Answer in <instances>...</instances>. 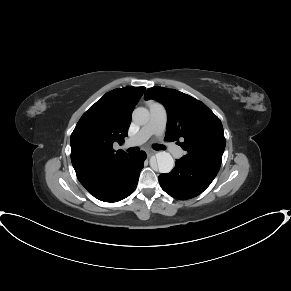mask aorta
<instances>
[{
    "label": "aorta",
    "instance_id": "762f6f07",
    "mask_svg": "<svg viewBox=\"0 0 291 291\" xmlns=\"http://www.w3.org/2000/svg\"><path fill=\"white\" fill-rule=\"evenodd\" d=\"M132 120L138 125H145L149 121V111L143 107L136 108L133 111ZM156 161L160 173H169L174 167L173 157L168 152H158Z\"/></svg>",
    "mask_w": 291,
    "mask_h": 291
}]
</instances>
